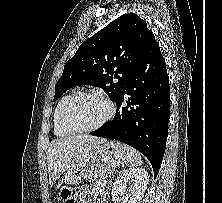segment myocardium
I'll list each match as a JSON object with an SVG mask.
<instances>
[{"label":"myocardium","instance_id":"obj_1","mask_svg":"<svg viewBox=\"0 0 222 203\" xmlns=\"http://www.w3.org/2000/svg\"><path fill=\"white\" fill-rule=\"evenodd\" d=\"M85 96L96 97L102 100L107 106V113L103 117V119L100 120L95 125L90 126V127H79V126L74 125L69 120V110L77 99H79L80 97H85ZM114 113H115V107H114L113 102L104 94L100 92H96V91L77 92L73 94L65 103L61 112V122L65 128H67L68 130L72 132H76V133L92 132L104 126L114 116Z\"/></svg>","mask_w":222,"mask_h":203}]
</instances>
